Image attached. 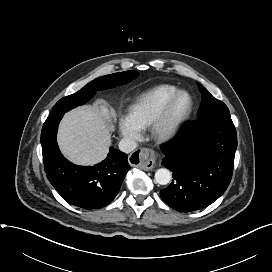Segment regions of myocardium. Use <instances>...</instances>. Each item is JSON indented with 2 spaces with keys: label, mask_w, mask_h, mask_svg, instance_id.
<instances>
[{
  "label": "myocardium",
  "mask_w": 272,
  "mask_h": 272,
  "mask_svg": "<svg viewBox=\"0 0 272 272\" xmlns=\"http://www.w3.org/2000/svg\"><path fill=\"white\" fill-rule=\"evenodd\" d=\"M181 95L189 98L188 108L178 117L173 116L176 101ZM194 109V98L190 92L178 89L167 101L160 114L157 116L152 126L154 137L162 142L174 139L182 130Z\"/></svg>",
  "instance_id": "obj_1"
}]
</instances>
